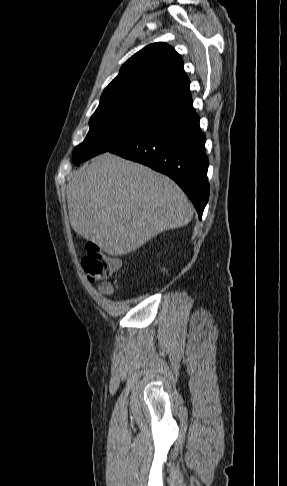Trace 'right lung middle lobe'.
<instances>
[{"label":"right lung middle lobe","mask_w":287,"mask_h":486,"mask_svg":"<svg viewBox=\"0 0 287 486\" xmlns=\"http://www.w3.org/2000/svg\"><path fill=\"white\" fill-rule=\"evenodd\" d=\"M170 111L144 103L100 106L92 115L85 140L74 151L75 165L136 138Z\"/></svg>","instance_id":"1"}]
</instances>
